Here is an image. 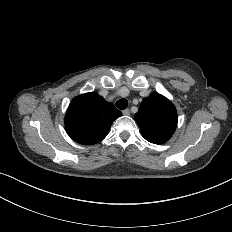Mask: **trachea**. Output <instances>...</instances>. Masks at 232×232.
Returning a JSON list of instances; mask_svg holds the SVG:
<instances>
[{
    "mask_svg": "<svg viewBox=\"0 0 232 232\" xmlns=\"http://www.w3.org/2000/svg\"><path fill=\"white\" fill-rule=\"evenodd\" d=\"M117 108L124 110L128 107V101L126 99H120L116 102Z\"/></svg>",
    "mask_w": 232,
    "mask_h": 232,
    "instance_id": "3493384b",
    "label": "trachea"
}]
</instances>
